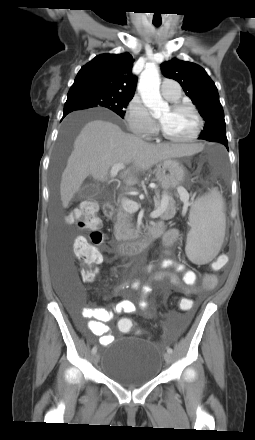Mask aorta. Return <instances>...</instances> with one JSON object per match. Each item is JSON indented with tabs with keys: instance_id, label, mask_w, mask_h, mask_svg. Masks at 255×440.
Segmentation results:
<instances>
[{
	"instance_id": "762f6f07",
	"label": "aorta",
	"mask_w": 255,
	"mask_h": 440,
	"mask_svg": "<svg viewBox=\"0 0 255 440\" xmlns=\"http://www.w3.org/2000/svg\"><path fill=\"white\" fill-rule=\"evenodd\" d=\"M160 75L159 68L155 64L147 66L140 75L138 91L146 107L153 111L155 115L168 111V103L163 101L160 95Z\"/></svg>"
}]
</instances>
